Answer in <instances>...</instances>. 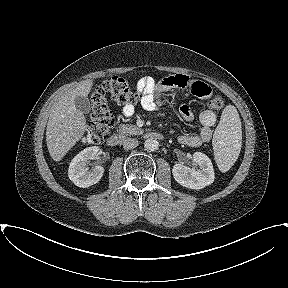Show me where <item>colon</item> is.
<instances>
[{
  "instance_id": "1",
  "label": "colon",
  "mask_w": 288,
  "mask_h": 288,
  "mask_svg": "<svg viewBox=\"0 0 288 288\" xmlns=\"http://www.w3.org/2000/svg\"><path fill=\"white\" fill-rule=\"evenodd\" d=\"M140 93L133 91L121 77L113 76L99 85L91 95V121L87 126L85 140L97 144L103 142L113 124V116L108 107V98L119 105H133L140 100ZM210 108L221 111L224 101L216 96L209 102Z\"/></svg>"
}]
</instances>
